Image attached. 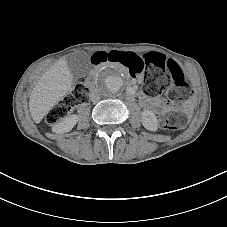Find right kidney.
Masks as SVG:
<instances>
[{
  "label": "right kidney",
  "mask_w": 227,
  "mask_h": 227,
  "mask_svg": "<svg viewBox=\"0 0 227 227\" xmlns=\"http://www.w3.org/2000/svg\"><path fill=\"white\" fill-rule=\"evenodd\" d=\"M78 122V115L72 114L66 116L52 125V132L57 134L67 133L72 130V128Z\"/></svg>",
  "instance_id": "right-kidney-1"
}]
</instances>
